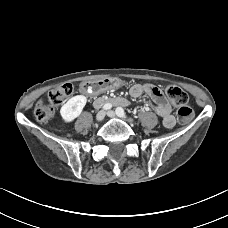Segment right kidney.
<instances>
[{
  "label": "right kidney",
  "instance_id": "ca27d5eb",
  "mask_svg": "<svg viewBox=\"0 0 228 228\" xmlns=\"http://www.w3.org/2000/svg\"><path fill=\"white\" fill-rule=\"evenodd\" d=\"M86 102L87 98L83 95H77L70 98L60 110L63 121L70 123L77 118L81 114Z\"/></svg>",
  "mask_w": 228,
  "mask_h": 228
}]
</instances>
